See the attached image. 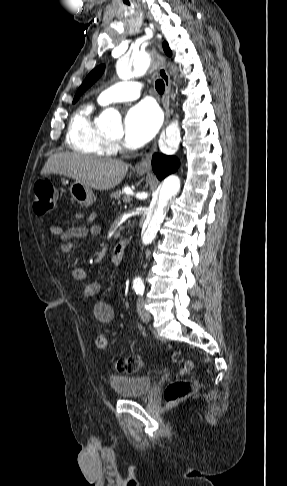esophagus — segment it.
I'll list each match as a JSON object with an SVG mask.
<instances>
[{"label":"esophagus","instance_id":"1","mask_svg":"<svg viewBox=\"0 0 287 486\" xmlns=\"http://www.w3.org/2000/svg\"><path fill=\"white\" fill-rule=\"evenodd\" d=\"M159 76L163 80L164 85H165V92L162 98V104H163V109L165 113V120H164V125L163 129L169 122L170 118V90H171V81H170V76L168 71L166 70L165 66L162 64L159 68ZM157 150V144L156 141L153 143L151 149L149 150L148 153L145 154V156L141 159L140 162L136 164V170L138 172H149L151 170V161H152V156Z\"/></svg>","mask_w":287,"mask_h":486}]
</instances>
